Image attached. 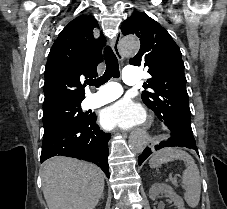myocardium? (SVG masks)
<instances>
[{
	"instance_id": "1",
	"label": "myocardium",
	"mask_w": 227,
	"mask_h": 209,
	"mask_svg": "<svg viewBox=\"0 0 227 209\" xmlns=\"http://www.w3.org/2000/svg\"><path fill=\"white\" fill-rule=\"evenodd\" d=\"M154 133L155 134H157V135H161L162 133H163V128H156L155 130H154Z\"/></svg>"
}]
</instances>
